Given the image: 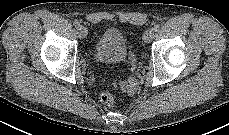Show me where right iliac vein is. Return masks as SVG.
<instances>
[{
    "label": "right iliac vein",
    "mask_w": 229,
    "mask_h": 135,
    "mask_svg": "<svg viewBox=\"0 0 229 135\" xmlns=\"http://www.w3.org/2000/svg\"><path fill=\"white\" fill-rule=\"evenodd\" d=\"M78 33L81 38H85L88 34V31L84 26H80L78 27Z\"/></svg>",
    "instance_id": "right-iliac-vein-1"
}]
</instances>
